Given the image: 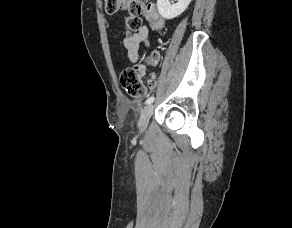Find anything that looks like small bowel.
Segmentation results:
<instances>
[{"label": "small bowel", "mask_w": 292, "mask_h": 228, "mask_svg": "<svg viewBox=\"0 0 292 228\" xmlns=\"http://www.w3.org/2000/svg\"><path fill=\"white\" fill-rule=\"evenodd\" d=\"M123 44L127 50L129 60L131 62H137L140 56V44H143L147 48L150 47L149 28L147 26H142L135 33L125 37ZM156 62L157 56L153 64H156ZM134 67L141 75L146 73V66L144 64H136ZM156 84L155 78L152 77L149 82V89L154 90L156 88Z\"/></svg>", "instance_id": "c3829d8e"}]
</instances>
